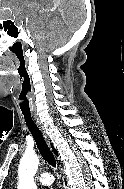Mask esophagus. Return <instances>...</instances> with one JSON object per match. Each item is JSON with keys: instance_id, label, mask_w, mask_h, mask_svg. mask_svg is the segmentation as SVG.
<instances>
[{"instance_id": "34e87169", "label": "esophagus", "mask_w": 124, "mask_h": 189, "mask_svg": "<svg viewBox=\"0 0 124 189\" xmlns=\"http://www.w3.org/2000/svg\"><path fill=\"white\" fill-rule=\"evenodd\" d=\"M32 116H33V119L35 120L36 124H37L38 127L40 128L41 132L43 133L44 138H45V139L47 140V142L49 143V140H48V137H47V135H46V133H45L44 127H43V125L40 123L38 116H37L35 113H33Z\"/></svg>"}]
</instances>
